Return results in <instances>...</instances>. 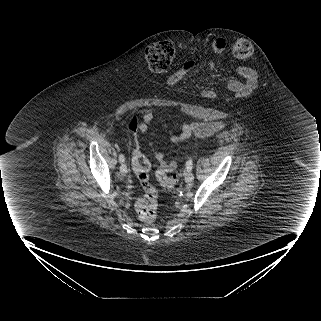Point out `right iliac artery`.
<instances>
[{"label":"right iliac artery","mask_w":321,"mask_h":321,"mask_svg":"<svg viewBox=\"0 0 321 321\" xmlns=\"http://www.w3.org/2000/svg\"><path fill=\"white\" fill-rule=\"evenodd\" d=\"M119 161H120V162H124V161H125V158H124L123 155H120V156H119Z\"/></svg>","instance_id":"1"}]
</instances>
